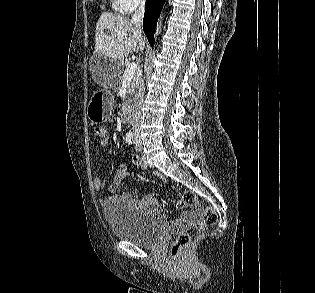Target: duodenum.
<instances>
[{"label": "duodenum", "mask_w": 315, "mask_h": 293, "mask_svg": "<svg viewBox=\"0 0 315 293\" xmlns=\"http://www.w3.org/2000/svg\"><path fill=\"white\" fill-rule=\"evenodd\" d=\"M130 112H131V109H130V106L129 104L125 103L122 105V108H121V119L122 121L124 122H128L129 119H130Z\"/></svg>", "instance_id": "1"}]
</instances>
